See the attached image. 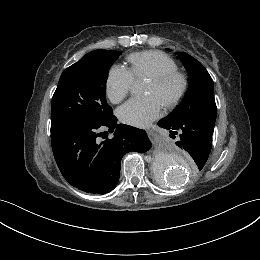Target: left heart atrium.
Returning a JSON list of instances; mask_svg holds the SVG:
<instances>
[{
    "instance_id": "1",
    "label": "left heart atrium",
    "mask_w": 260,
    "mask_h": 260,
    "mask_svg": "<svg viewBox=\"0 0 260 260\" xmlns=\"http://www.w3.org/2000/svg\"><path fill=\"white\" fill-rule=\"evenodd\" d=\"M163 102L155 95L132 98L118 110L120 120L134 126H146L157 118Z\"/></svg>"
}]
</instances>
